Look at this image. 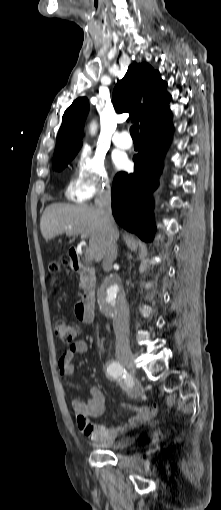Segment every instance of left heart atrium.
<instances>
[{
  "mask_svg": "<svg viewBox=\"0 0 221 510\" xmlns=\"http://www.w3.org/2000/svg\"><path fill=\"white\" fill-rule=\"evenodd\" d=\"M114 162H115V165L120 168V167H122L124 165L125 160H124V158L122 156L117 155L114 158Z\"/></svg>",
  "mask_w": 221,
  "mask_h": 510,
  "instance_id": "39dd6f15",
  "label": "left heart atrium"
}]
</instances>
